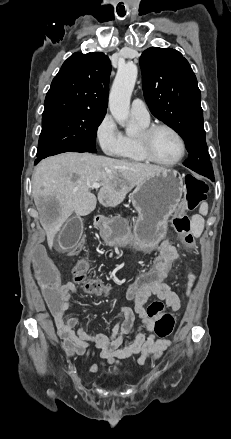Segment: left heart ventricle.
<instances>
[{
	"label": "left heart ventricle",
	"instance_id": "1",
	"mask_svg": "<svg viewBox=\"0 0 231 439\" xmlns=\"http://www.w3.org/2000/svg\"><path fill=\"white\" fill-rule=\"evenodd\" d=\"M153 155L160 161L170 162L180 154V144L177 138L168 130L156 131L150 140Z\"/></svg>",
	"mask_w": 231,
	"mask_h": 439
}]
</instances>
